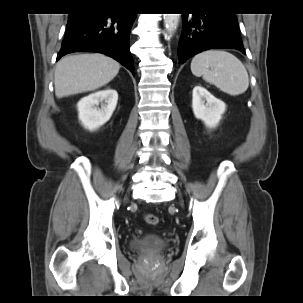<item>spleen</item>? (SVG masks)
I'll return each instance as SVG.
<instances>
[{"instance_id": "spleen-1", "label": "spleen", "mask_w": 303, "mask_h": 303, "mask_svg": "<svg viewBox=\"0 0 303 303\" xmlns=\"http://www.w3.org/2000/svg\"><path fill=\"white\" fill-rule=\"evenodd\" d=\"M191 72L232 96L244 93L249 77L243 63L223 50H208L197 54L191 61Z\"/></svg>"}]
</instances>
